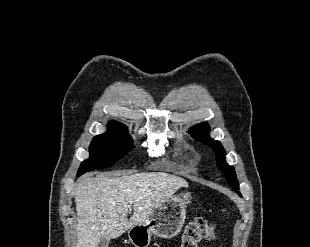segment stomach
<instances>
[{
    "label": "stomach",
    "instance_id": "0dacf381",
    "mask_svg": "<svg viewBox=\"0 0 310 247\" xmlns=\"http://www.w3.org/2000/svg\"><path fill=\"white\" fill-rule=\"evenodd\" d=\"M191 193L181 191L158 204L142 223L133 225L128 236L135 247H148L152 235L170 239L182 229L186 219V207L191 202Z\"/></svg>",
    "mask_w": 310,
    "mask_h": 247
}]
</instances>
